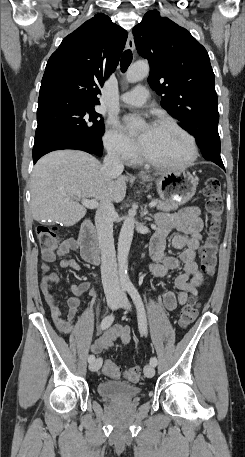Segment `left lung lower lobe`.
I'll return each instance as SVG.
<instances>
[{
  "mask_svg": "<svg viewBox=\"0 0 245 457\" xmlns=\"http://www.w3.org/2000/svg\"><path fill=\"white\" fill-rule=\"evenodd\" d=\"M199 128L186 129L197 140V144L202 151L203 157L216 163L225 170L220 157V137L218 134V122L205 120L201 122Z\"/></svg>",
  "mask_w": 245,
  "mask_h": 457,
  "instance_id": "left-lung-lower-lobe-1",
  "label": "left lung lower lobe"
}]
</instances>
